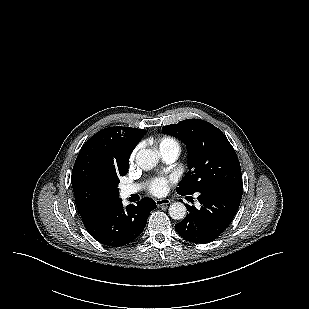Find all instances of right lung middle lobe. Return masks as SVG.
I'll return each instance as SVG.
<instances>
[{
  "label": "right lung middle lobe",
  "mask_w": 309,
  "mask_h": 309,
  "mask_svg": "<svg viewBox=\"0 0 309 309\" xmlns=\"http://www.w3.org/2000/svg\"><path fill=\"white\" fill-rule=\"evenodd\" d=\"M127 171H128V167H124L119 170H112V172L110 173L111 188L113 189V191L118 197H119V189H118L119 177L126 175Z\"/></svg>",
  "instance_id": "obj_1"
}]
</instances>
